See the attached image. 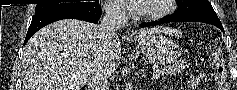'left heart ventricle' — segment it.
Here are the masks:
<instances>
[{"label":"left heart ventricle","mask_w":237,"mask_h":90,"mask_svg":"<svg viewBox=\"0 0 237 90\" xmlns=\"http://www.w3.org/2000/svg\"><path fill=\"white\" fill-rule=\"evenodd\" d=\"M160 5L161 3L159 1H142L138 6L144 7L150 11H156L159 9Z\"/></svg>","instance_id":"b2bd125f"}]
</instances>
